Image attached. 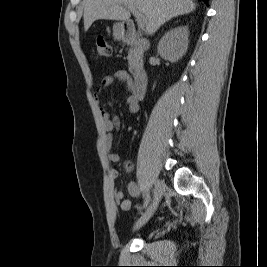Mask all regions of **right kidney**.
<instances>
[{"label": "right kidney", "mask_w": 267, "mask_h": 267, "mask_svg": "<svg viewBox=\"0 0 267 267\" xmlns=\"http://www.w3.org/2000/svg\"><path fill=\"white\" fill-rule=\"evenodd\" d=\"M189 30L187 26L170 29L160 39L157 52L165 60L177 62L188 49Z\"/></svg>", "instance_id": "right-kidney-1"}]
</instances>
